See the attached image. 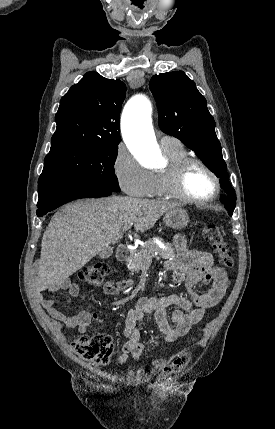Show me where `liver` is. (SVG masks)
Segmentation results:
<instances>
[{
	"mask_svg": "<svg viewBox=\"0 0 275 429\" xmlns=\"http://www.w3.org/2000/svg\"><path fill=\"white\" fill-rule=\"evenodd\" d=\"M175 207L179 205L127 196L79 200L63 206L43 234L37 287L59 288L105 247L116 243L125 226L149 230Z\"/></svg>",
	"mask_w": 275,
	"mask_h": 429,
	"instance_id": "obj_1",
	"label": "liver"
}]
</instances>
